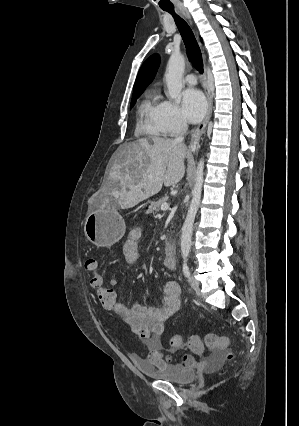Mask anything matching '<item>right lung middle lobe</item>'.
Here are the masks:
<instances>
[{"instance_id":"1","label":"right lung middle lobe","mask_w":299,"mask_h":426,"mask_svg":"<svg viewBox=\"0 0 299 426\" xmlns=\"http://www.w3.org/2000/svg\"><path fill=\"white\" fill-rule=\"evenodd\" d=\"M142 92L143 91L133 92L130 108H132L135 105L137 98L141 95Z\"/></svg>"}]
</instances>
